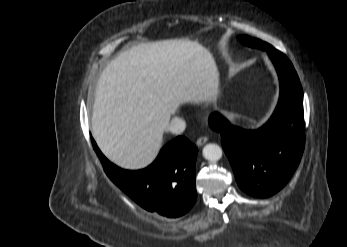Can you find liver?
Returning <instances> with one entry per match:
<instances>
[{
  "label": "liver",
  "mask_w": 347,
  "mask_h": 247,
  "mask_svg": "<svg viewBox=\"0 0 347 247\" xmlns=\"http://www.w3.org/2000/svg\"><path fill=\"white\" fill-rule=\"evenodd\" d=\"M219 74L196 41L140 43L102 71L91 119L102 153L124 169H141L158 155L170 117L185 102H216Z\"/></svg>",
  "instance_id": "obj_1"
}]
</instances>
